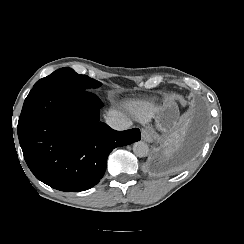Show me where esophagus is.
Returning <instances> with one entry per match:
<instances>
[{
    "instance_id": "1",
    "label": "esophagus",
    "mask_w": 244,
    "mask_h": 244,
    "mask_svg": "<svg viewBox=\"0 0 244 244\" xmlns=\"http://www.w3.org/2000/svg\"><path fill=\"white\" fill-rule=\"evenodd\" d=\"M142 139L146 142H151V129L149 127L142 128L141 130Z\"/></svg>"
}]
</instances>
